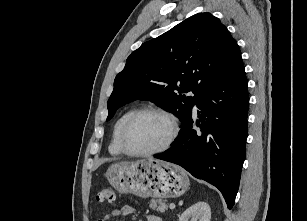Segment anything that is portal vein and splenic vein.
<instances>
[{
  "label": "portal vein and splenic vein",
  "instance_id": "portal-vein-and-splenic-vein-1",
  "mask_svg": "<svg viewBox=\"0 0 307 221\" xmlns=\"http://www.w3.org/2000/svg\"><path fill=\"white\" fill-rule=\"evenodd\" d=\"M169 207H170V209H175V204L171 203V204L169 205Z\"/></svg>",
  "mask_w": 307,
  "mask_h": 221
}]
</instances>
